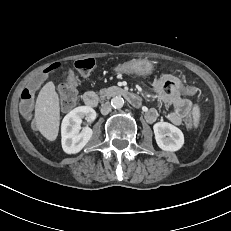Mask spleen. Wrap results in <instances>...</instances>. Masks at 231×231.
I'll return each instance as SVG.
<instances>
[{"mask_svg":"<svg viewBox=\"0 0 231 231\" xmlns=\"http://www.w3.org/2000/svg\"><path fill=\"white\" fill-rule=\"evenodd\" d=\"M193 117H194V125L196 127L198 125L199 117H200L199 108L197 106L194 107L193 109Z\"/></svg>","mask_w":231,"mask_h":231,"instance_id":"spleen-1","label":"spleen"}]
</instances>
